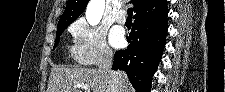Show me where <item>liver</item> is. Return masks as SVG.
I'll return each mask as SVG.
<instances>
[{
  "label": "liver",
  "mask_w": 225,
  "mask_h": 92,
  "mask_svg": "<svg viewBox=\"0 0 225 92\" xmlns=\"http://www.w3.org/2000/svg\"><path fill=\"white\" fill-rule=\"evenodd\" d=\"M118 78V92H132L127 75L123 71H116ZM76 84H86L93 92H111L109 76L94 68L83 67H55L51 70L47 92H82L73 88Z\"/></svg>",
  "instance_id": "6515ba94"
}]
</instances>
